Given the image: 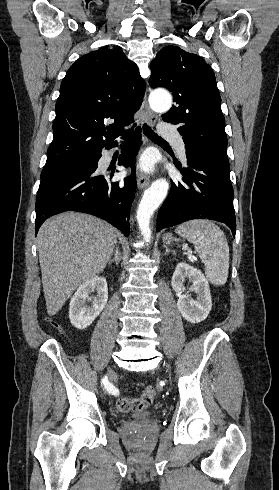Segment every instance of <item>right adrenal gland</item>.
<instances>
[{
  "instance_id": "obj_1",
  "label": "right adrenal gland",
  "mask_w": 279,
  "mask_h": 490,
  "mask_svg": "<svg viewBox=\"0 0 279 490\" xmlns=\"http://www.w3.org/2000/svg\"><path fill=\"white\" fill-rule=\"evenodd\" d=\"M121 258H122V256H121V252H120L119 248H115V256H114V258H112V260H109V262H108L109 266H111V264H113V262H114L115 266H118V264H120V262H121Z\"/></svg>"
}]
</instances>
